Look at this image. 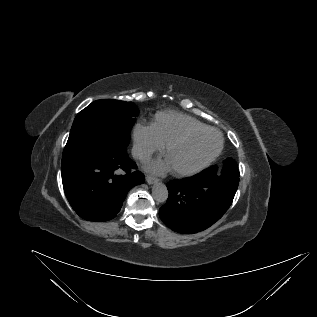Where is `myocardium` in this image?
I'll return each mask as SVG.
<instances>
[{
  "label": "myocardium",
  "instance_id": "myocardium-1",
  "mask_svg": "<svg viewBox=\"0 0 317 317\" xmlns=\"http://www.w3.org/2000/svg\"><path fill=\"white\" fill-rule=\"evenodd\" d=\"M204 132H215L219 136L220 141H219V145L217 149L204 161L200 162L199 164L191 168L184 169V170H172V173L174 175L183 177V176H190V175L196 174L202 171L203 169H205L206 167H208L220 155L224 146L223 135L219 130L213 127H207V126L203 128H193V129L186 130L183 133L179 134L178 136L174 137L173 139L169 140L164 145V149H163L164 155H166L172 148L185 142L190 137L200 133H204Z\"/></svg>",
  "mask_w": 317,
  "mask_h": 317
}]
</instances>
